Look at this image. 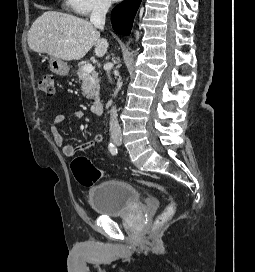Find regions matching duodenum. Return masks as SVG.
Instances as JSON below:
<instances>
[{
    "instance_id": "obj_1",
    "label": "duodenum",
    "mask_w": 255,
    "mask_h": 272,
    "mask_svg": "<svg viewBox=\"0 0 255 272\" xmlns=\"http://www.w3.org/2000/svg\"><path fill=\"white\" fill-rule=\"evenodd\" d=\"M103 106H104V103H103L102 100H100V99H95V100L92 102L91 111H92L94 114H100V113H102Z\"/></svg>"
}]
</instances>
